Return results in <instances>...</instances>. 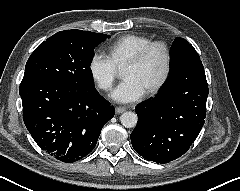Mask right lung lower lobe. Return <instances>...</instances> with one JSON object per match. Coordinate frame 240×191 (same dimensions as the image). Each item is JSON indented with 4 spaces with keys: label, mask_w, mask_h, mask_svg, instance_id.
Segmentation results:
<instances>
[{
    "label": "right lung lower lobe",
    "mask_w": 240,
    "mask_h": 191,
    "mask_svg": "<svg viewBox=\"0 0 240 191\" xmlns=\"http://www.w3.org/2000/svg\"><path fill=\"white\" fill-rule=\"evenodd\" d=\"M24 123L38 146L56 160L71 163L95 147L114 109L95 88L81 90L50 79L22 80Z\"/></svg>",
    "instance_id": "obj_1"
}]
</instances>
